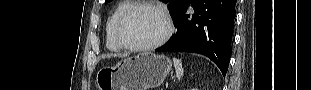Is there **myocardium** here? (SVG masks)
Instances as JSON below:
<instances>
[{
    "instance_id": "myocardium-1",
    "label": "myocardium",
    "mask_w": 311,
    "mask_h": 90,
    "mask_svg": "<svg viewBox=\"0 0 311 90\" xmlns=\"http://www.w3.org/2000/svg\"><path fill=\"white\" fill-rule=\"evenodd\" d=\"M141 8H149L152 9L156 12H158L164 22H165V31L163 35L155 42L148 44V45H143V46H134L129 43H127L124 38L122 37V27L125 23V21L129 18V16L134 13L136 10L141 9ZM174 31V25L172 18L168 11L161 5L152 3V2H139L133 4L131 7H129L125 12L122 13V15L118 18L116 26H115V37L118 42V44L131 52H136V53H143V52H148L151 50H154L160 46H162L164 43L167 42V40L171 37L172 33Z\"/></svg>"
}]
</instances>
